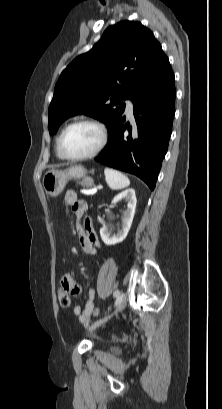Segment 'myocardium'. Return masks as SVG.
<instances>
[{
  "label": "myocardium",
  "mask_w": 222,
  "mask_h": 409,
  "mask_svg": "<svg viewBox=\"0 0 222 409\" xmlns=\"http://www.w3.org/2000/svg\"><path fill=\"white\" fill-rule=\"evenodd\" d=\"M82 124H88V125L95 126L100 132V142H99L98 146L92 152H90L88 154L80 155V156H70L64 151V148H63L64 137H65L66 133L71 128H73L74 126H77V125H82ZM108 138H109L108 129H107L106 125L103 122H101L100 120L94 119V118H83V119H79V120H76V121L68 124L62 130V132H61V134L59 136V140H58V149H59V152H60L61 156L66 160H70V161L87 160V159H91V158L96 157L97 155H99L102 152V150L107 145Z\"/></svg>",
  "instance_id": "myocardium-1"
}]
</instances>
